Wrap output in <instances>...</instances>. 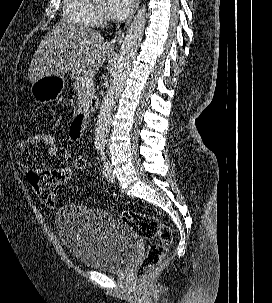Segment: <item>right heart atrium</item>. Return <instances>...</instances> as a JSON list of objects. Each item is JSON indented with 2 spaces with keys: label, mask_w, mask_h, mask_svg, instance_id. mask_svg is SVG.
<instances>
[{
  "label": "right heart atrium",
  "mask_w": 272,
  "mask_h": 303,
  "mask_svg": "<svg viewBox=\"0 0 272 303\" xmlns=\"http://www.w3.org/2000/svg\"><path fill=\"white\" fill-rule=\"evenodd\" d=\"M106 20L103 8L99 5H93L92 24L102 23Z\"/></svg>",
  "instance_id": "right-heart-atrium-1"
}]
</instances>
